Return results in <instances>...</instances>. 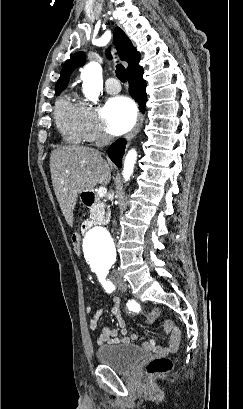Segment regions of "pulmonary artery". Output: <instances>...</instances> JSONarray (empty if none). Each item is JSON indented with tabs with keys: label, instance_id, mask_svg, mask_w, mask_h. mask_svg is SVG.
Masks as SVG:
<instances>
[{
	"label": "pulmonary artery",
	"instance_id": "pulmonary-artery-1",
	"mask_svg": "<svg viewBox=\"0 0 243 409\" xmlns=\"http://www.w3.org/2000/svg\"><path fill=\"white\" fill-rule=\"evenodd\" d=\"M106 91L110 94H117L121 90L119 82L115 78L107 79L105 83Z\"/></svg>",
	"mask_w": 243,
	"mask_h": 409
}]
</instances>
